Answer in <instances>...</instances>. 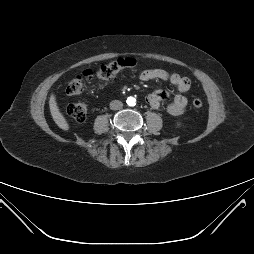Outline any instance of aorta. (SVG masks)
I'll list each match as a JSON object with an SVG mask.
<instances>
[{
	"instance_id": "aorta-1",
	"label": "aorta",
	"mask_w": 254,
	"mask_h": 254,
	"mask_svg": "<svg viewBox=\"0 0 254 254\" xmlns=\"http://www.w3.org/2000/svg\"><path fill=\"white\" fill-rule=\"evenodd\" d=\"M127 105L129 106H135L136 105V99L134 97H128L126 100Z\"/></svg>"
}]
</instances>
